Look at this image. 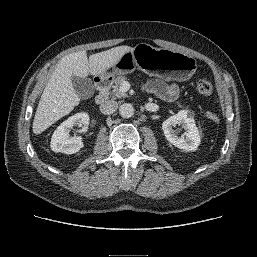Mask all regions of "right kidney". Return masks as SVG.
<instances>
[{
	"label": "right kidney",
	"instance_id": "right-kidney-1",
	"mask_svg": "<svg viewBox=\"0 0 257 257\" xmlns=\"http://www.w3.org/2000/svg\"><path fill=\"white\" fill-rule=\"evenodd\" d=\"M89 116L86 112L77 113L62 122L54 131L50 147L54 152L74 154L83 147L81 137H70L69 133L73 126H82V130H87Z\"/></svg>",
	"mask_w": 257,
	"mask_h": 257
}]
</instances>
